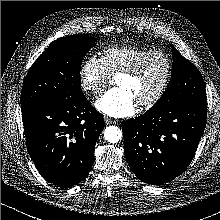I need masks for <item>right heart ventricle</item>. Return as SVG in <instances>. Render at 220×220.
I'll return each mask as SVG.
<instances>
[{
  "instance_id": "1",
  "label": "right heart ventricle",
  "mask_w": 220,
  "mask_h": 220,
  "mask_svg": "<svg viewBox=\"0 0 220 220\" xmlns=\"http://www.w3.org/2000/svg\"><path fill=\"white\" fill-rule=\"evenodd\" d=\"M151 51L152 49L150 48L139 46H112L103 50L101 58L109 75L115 76L130 67L141 56Z\"/></svg>"
}]
</instances>
